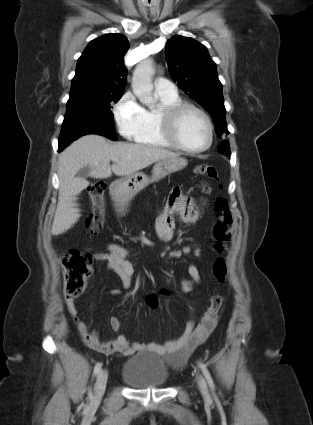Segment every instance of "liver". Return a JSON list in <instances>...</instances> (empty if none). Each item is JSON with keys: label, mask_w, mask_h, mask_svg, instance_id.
I'll use <instances>...</instances> for the list:
<instances>
[{"label": "liver", "mask_w": 313, "mask_h": 425, "mask_svg": "<svg viewBox=\"0 0 313 425\" xmlns=\"http://www.w3.org/2000/svg\"><path fill=\"white\" fill-rule=\"evenodd\" d=\"M177 153L164 148L118 142L110 144L102 136L89 134L74 141L59 156V197L51 233L54 236L65 233L80 218L76 196L89 182L75 177L78 171L90 167V176L105 179L114 173L117 176H129L151 164L167 158L178 157ZM117 159L110 166V161Z\"/></svg>", "instance_id": "obj_1"}]
</instances>
